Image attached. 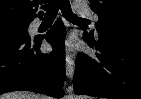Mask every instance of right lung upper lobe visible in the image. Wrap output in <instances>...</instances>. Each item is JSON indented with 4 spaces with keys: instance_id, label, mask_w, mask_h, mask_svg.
Masks as SVG:
<instances>
[{
    "instance_id": "right-lung-upper-lobe-1",
    "label": "right lung upper lobe",
    "mask_w": 141,
    "mask_h": 99,
    "mask_svg": "<svg viewBox=\"0 0 141 99\" xmlns=\"http://www.w3.org/2000/svg\"><path fill=\"white\" fill-rule=\"evenodd\" d=\"M46 0H0V22L32 21L42 17L43 12L36 14L37 6Z\"/></svg>"
}]
</instances>
